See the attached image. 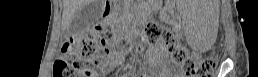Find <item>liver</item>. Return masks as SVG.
<instances>
[{
    "label": "liver",
    "instance_id": "6515ba94",
    "mask_svg": "<svg viewBox=\"0 0 258 77\" xmlns=\"http://www.w3.org/2000/svg\"><path fill=\"white\" fill-rule=\"evenodd\" d=\"M92 0H63L62 24L69 27L75 14Z\"/></svg>",
    "mask_w": 258,
    "mask_h": 77
}]
</instances>
